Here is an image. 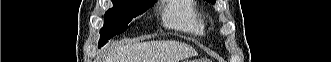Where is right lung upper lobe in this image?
I'll list each match as a JSON object with an SVG mask.
<instances>
[{
  "label": "right lung upper lobe",
  "mask_w": 331,
  "mask_h": 62,
  "mask_svg": "<svg viewBox=\"0 0 331 62\" xmlns=\"http://www.w3.org/2000/svg\"><path fill=\"white\" fill-rule=\"evenodd\" d=\"M146 1H155V0H146Z\"/></svg>",
  "instance_id": "obj_1"
}]
</instances>
